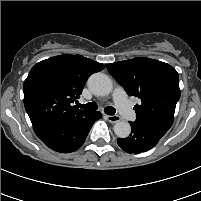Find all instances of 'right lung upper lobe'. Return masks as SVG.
<instances>
[{
    "instance_id": "obj_1",
    "label": "right lung upper lobe",
    "mask_w": 201,
    "mask_h": 201,
    "mask_svg": "<svg viewBox=\"0 0 201 201\" xmlns=\"http://www.w3.org/2000/svg\"><path fill=\"white\" fill-rule=\"evenodd\" d=\"M105 66L81 55H59L43 60L31 69L24 82V105L33 127L71 124L90 111L73 105L88 77Z\"/></svg>"
}]
</instances>
